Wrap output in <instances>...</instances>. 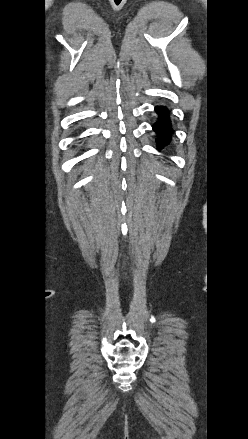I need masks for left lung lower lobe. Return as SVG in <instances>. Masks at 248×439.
Wrapping results in <instances>:
<instances>
[{
	"label": "left lung lower lobe",
	"mask_w": 248,
	"mask_h": 439,
	"mask_svg": "<svg viewBox=\"0 0 248 439\" xmlns=\"http://www.w3.org/2000/svg\"><path fill=\"white\" fill-rule=\"evenodd\" d=\"M155 111L158 114V120L152 125L157 134V146L159 149L170 144L172 140L173 128L170 120V113L164 106H156Z\"/></svg>",
	"instance_id": "left-lung-lower-lobe-1"
}]
</instances>
